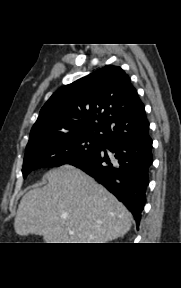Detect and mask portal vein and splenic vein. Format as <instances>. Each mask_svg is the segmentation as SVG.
Wrapping results in <instances>:
<instances>
[{"instance_id":"1","label":"portal vein and splenic vein","mask_w":181,"mask_h":288,"mask_svg":"<svg viewBox=\"0 0 181 288\" xmlns=\"http://www.w3.org/2000/svg\"><path fill=\"white\" fill-rule=\"evenodd\" d=\"M62 218H63V219H66V218H67V216H65V215H64V216H62Z\"/></svg>"}]
</instances>
